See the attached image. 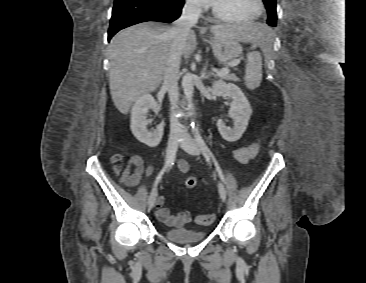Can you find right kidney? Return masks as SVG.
Here are the masks:
<instances>
[{"label": "right kidney", "instance_id": "ca27d5eb", "mask_svg": "<svg viewBox=\"0 0 366 283\" xmlns=\"http://www.w3.org/2000/svg\"><path fill=\"white\" fill-rule=\"evenodd\" d=\"M149 110L159 112V105L150 94L140 96L131 109V131L136 139L149 147H156L162 140L164 122H161L154 132L147 129Z\"/></svg>", "mask_w": 366, "mask_h": 283}]
</instances>
